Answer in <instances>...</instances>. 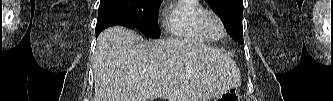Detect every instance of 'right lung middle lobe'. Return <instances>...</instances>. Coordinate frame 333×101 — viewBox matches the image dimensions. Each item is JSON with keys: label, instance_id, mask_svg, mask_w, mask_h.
<instances>
[{"label": "right lung middle lobe", "instance_id": "dd1d6c3e", "mask_svg": "<svg viewBox=\"0 0 333 101\" xmlns=\"http://www.w3.org/2000/svg\"><path fill=\"white\" fill-rule=\"evenodd\" d=\"M163 0H101L100 5H116L130 21V28H136L146 36L159 38L158 9Z\"/></svg>", "mask_w": 333, "mask_h": 101}]
</instances>
